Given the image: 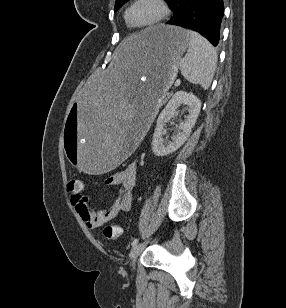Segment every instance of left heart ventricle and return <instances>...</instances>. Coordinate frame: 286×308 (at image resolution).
<instances>
[{
  "mask_svg": "<svg viewBox=\"0 0 286 308\" xmlns=\"http://www.w3.org/2000/svg\"><path fill=\"white\" fill-rule=\"evenodd\" d=\"M159 14L160 9L153 0H141L132 7L129 18L134 25H144L154 21Z\"/></svg>",
  "mask_w": 286,
  "mask_h": 308,
  "instance_id": "b2bd125f",
  "label": "left heart ventricle"
}]
</instances>
